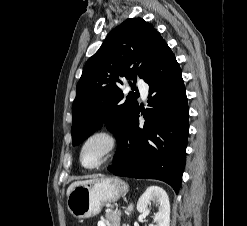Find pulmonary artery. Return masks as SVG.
Here are the masks:
<instances>
[{
  "mask_svg": "<svg viewBox=\"0 0 247 226\" xmlns=\"http://www.w3.org/2000/svg\"><path fill=\"white\" fill-rule=\"evenodd\" d=\"M137 87L142 95V98L145 99L147 96V92H148V86L146 83H144L143 81H138L137 82Z\"/></svg>",
  "mask_w": 247,
  "mask_h": 226,
  "instance_id": "obj_1",
  "label": "pulmonary artery"
}]
</instances>
